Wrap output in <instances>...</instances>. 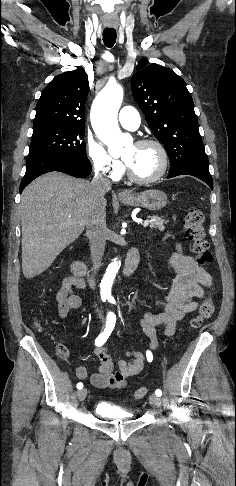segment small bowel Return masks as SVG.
Instances as JSON below:
<instances>
[{"label": "small bowel", "mask_w": 236, "mask_h": 486, "mask_svg": "<svg viewBox=\"0 0 236 486\" xmlns=\"http://www.w3.org/2000/svg\"><path fill=\"white\" fill-rule=\"evenodd\" d=\"M169 266L177 272V275L173 279L169 292L157 301L162 312H144L139 319L143 332L150 340L152 350L158 347L156 327L163 326L165 334L172 336L178 322L198 308L197 300L203 298L205 289L212 284L209 274L192 257L185 255L179 244L169 259ZM82 289L83 282L75 276H69L62 281L56 294L60 318H65L70 310L80 307L81 298L78 292ZM95 355L100 364L90 379L95 387L103 389H123L127 380L138 374L146 362L144 353L128 351L118 359L117 368L114 369V363L104 348H96ZM76 376L81 380L86 379L87 368L78 366Z\"/></svg>", "instance_id": "1"}]
</instances>
